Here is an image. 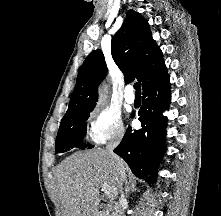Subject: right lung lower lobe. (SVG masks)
Instances as JSON below:
<instances>
[{"label": "right lung lower lobe", "instance_id": "right-lung-lower-lobe-1", "mask_svg": "<svg viewBox=\"0 0 221 216\" xmlns=\"http://www.w3.org/2000/svg\"><path fill=\"white\" fill-rule=\"evenodd\" d=\"M170 80L167 70L143 87L142 107L138 112L142 127H129L114 152L122 157L135 176L154 183L157 168L165 152L164 131L167 118L162 113L170 103Z\"/></svg>", "mask_w": 221, "mask_h": 216}]
</instances>
